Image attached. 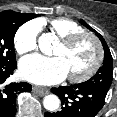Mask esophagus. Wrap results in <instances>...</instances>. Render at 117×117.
I'll use <instances>...</instances> for the list:
<instances>
[{
	"label": "esophagus",
	"instance_id": "obj_1",
	"mask_svg": "<svg viewBox=\"0 0 117 117\" xmlns=\"http://www.w3.org/2000/svg\"><path fill=\"white\" fill-rule=\"evenodd\" d=\"M33 91L40 96H44L49 93V90L47 88H43L39 86H33Z\"/></svg>",
	"mask_w": 117,
	"mask_h": 117
}]
</instances>
